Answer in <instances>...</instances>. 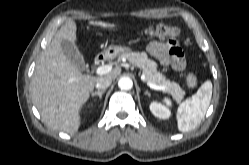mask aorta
I'll return each mask as SVG.
<instances>
[{"instance_id":"1","label":"aorta","mask_w":249,"mask_h":165,"mask_svg":"<svg viewBox=\"0 0 249 165\" xmlns=\"http://www.w3.org/2000/svg\"><path fill=\"white\" fill-rule=\"evenodd\" d=\"M118 87L121 90H130L133 87V81L130 77H121L118 81Z\"/></svg>"}]
</instances>
